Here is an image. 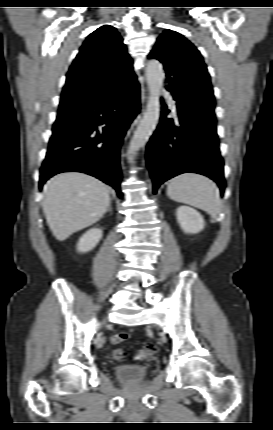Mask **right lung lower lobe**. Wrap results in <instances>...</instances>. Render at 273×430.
Wrapping results in <instances>:
<instances>
[{"label":"right lung lower lobe","instance_id":"1","mask_svg":"<svg viewBox=\"0 0 273 430\" xmlns=\"http://www.w3.org/2000/svg\"><path fill=\"white\" fill-rule=\"evenodd\" d=\"M139 109L136 84L94 101L85 108L87 113L78 126L53 133L40 170L39 188L55 174L77 171L113 186L122 197L120 146ZM102 124L107 126L99 130Z\"/></svg>","mask_w":273,"mask_h":430}]
</instances>
